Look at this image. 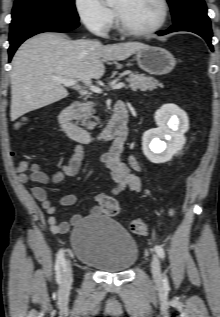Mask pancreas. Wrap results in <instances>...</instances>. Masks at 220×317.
<instances>
[{
  "label": "pancreas",
  "mask_w": 220,
  "mask_h": 317,
  "mask_svg": "<svg viewBox=\"0 0 220 317\" xmlns=\"http://www.w3.org/2000/svg\"><path fill=\"white\" fill-rule=\"evenodd\" d=\"M126 82L129 83L128 87L133 91L141 90V91H152L160 85L159 81L150 76H145L144 74L133 73L130 74L128 78H126ZM95 104L93 102H87L83 105L78 119L82 121V126L86 127L89 130L94 129L97 125L92 118H95L98 121V118L94 117L93 114L95 110L93 107Z\"/></svg>",
  "instance_id": "pancreas-1"
}]
</instances>
